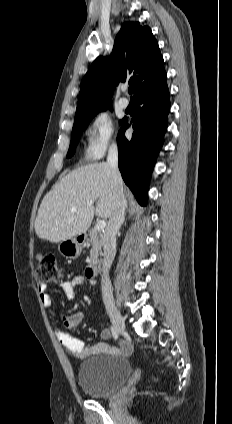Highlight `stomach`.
<instances>
[{
	"mask_svg": "<svg viewBox=\"0 0 232 424\" xmlns=\"http://www.w3.org/2000/svg\"><path fill=\"white\" fill-rule=\"evenodd\" d=\"M83 242V237H73L61 241L58 245V250L64 257L69 259H75L80 255L82 251Z\"/></svg>",
	"mask_w": 232,
	"mask_h": 424,
	"instance_id": "stomach-1",
	"label": "stomach"
}]
</instances>
